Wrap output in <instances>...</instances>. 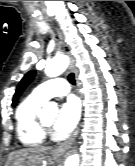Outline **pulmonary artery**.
<instances>
[{
    "mask_svg": "<svg viewBox=\"0 0 135 166\" xmlns=\"http://www.w3.org/2000/svg\"><path fill=\"white\" fill-rule=\"evenodd\" d=\"M69 90L70 87L66 80L52 79L34 88L32 94L43 101H47L52 97L65 96Z\"/></svg>",
    "mask_w": 135,
    "mask_h": 166,
    "instance_id": "1",
    "label": "pulmonary artery"
}]
</instances>
